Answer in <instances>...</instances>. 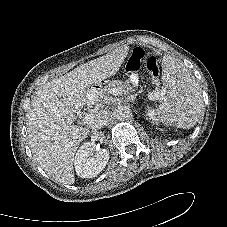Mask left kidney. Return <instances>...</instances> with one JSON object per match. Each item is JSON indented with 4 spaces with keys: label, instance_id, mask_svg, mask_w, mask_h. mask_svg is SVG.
<instances>
[{
    "label": "left kidney",
    "instance_id": "5707ae66",
    "mask_svg": "<svg viewBox=\"0 0 227 227\" xmlns=\"http://www.w3.org/2000/svg\"><path fill=\"white\" fill-rule=\"evenodd\" d=\"M147 115H148L149 119L153 121V123L156 121L154 110L148 109Z\"/></svg>",
    "mask_w": 227,
    "mask_h": 227
}]
</instances>
